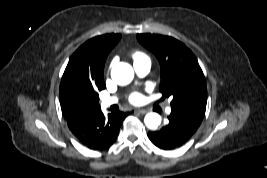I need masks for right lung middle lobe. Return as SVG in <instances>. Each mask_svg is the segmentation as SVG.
Listing matches in <instances>:
<instances>
[{"label": "right lung middle lobe", "instance_id": "dd1d6c3e", "mask_svg": "<svg viewBox=\"0 0 267 178\" xmlns=\"http://www.w3.org/2000/svg\"><path fill=\"white\" fill-rule=\"evenodd\" d=\"M93 86L78 83L71 86L66 92L67 105L78 109H94L100 107L98 104V92Z\"/></svg>", "mask_w": 267, "mask_h": 178}]
</instances>
